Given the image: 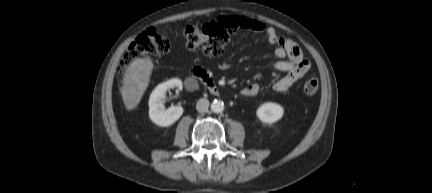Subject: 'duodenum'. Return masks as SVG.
<instances>
[{
	"label": "duodenum",
	"mask_w": 432,
	"mask_h": 193,
	"mask_svg": "<svg viewBox=\"0 0 432 193\" xmlns=\"http://www.w3.org/2000/svg\"><path fill=\"white\" fill-rule=\"evenodd\" d=\"M190 75L204 83L211 94L215 96H219L221 94L217 83L206 70L201 68H193L190 71Z\"/></svg>",
	"instance_id": "obj_1"
}]
</instances>
